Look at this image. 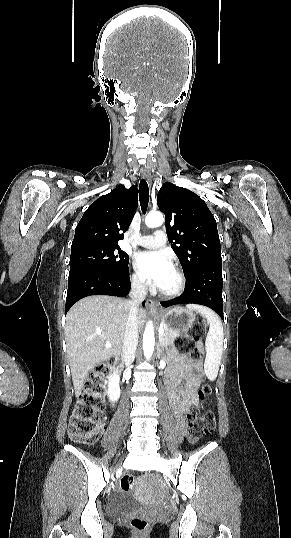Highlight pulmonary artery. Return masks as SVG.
<instances>
[{
  "mask_svg": "<svg viewBox=\"0 0 291 538\" xmlns=\"http://www.w3.org/2000/svg\"><path fill=\"white\" fill-rule=\"evenodd\" d=\"M167 237L163 230H156L153 235L140 237L136 243L144 248H159L166 244Z\"/></svg>",
  "mask_w": 291,
  "mask_h": 538,
  "instance_id": "1",
  "label": "pulmonary artery"
}]
</instances>
